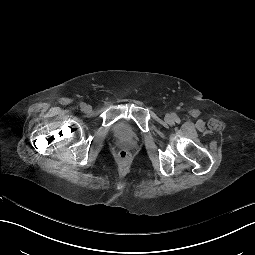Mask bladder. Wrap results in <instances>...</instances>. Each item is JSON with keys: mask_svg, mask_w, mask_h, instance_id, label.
<instances>
[{"mask_svg": "<svg viewBox=\"0 0 255 255\" xmlns=\"http://www.w3.org/2000/svg\"><path fill=\"white\" fill-rule=\"evenodd\" d=\"M118 130L121 134L127 133V129L125 127L118 126Z\"/></svg>", "mask_w": 255, "mask_h": 255, "instance_id": "obj_1", "label": "bladder"}]
</instances>
